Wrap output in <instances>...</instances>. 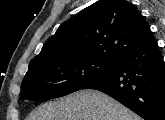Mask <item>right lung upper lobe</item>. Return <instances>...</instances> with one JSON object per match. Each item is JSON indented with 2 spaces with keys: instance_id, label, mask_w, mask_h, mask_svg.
<instances>
[{
  "instance_id": "right-lung-upper-lobe-1",
  "label": "right lung upper lobe",
  "mask_w": 165,
  "mask_h": 120,
  "mask_svg": "<svg viewBox=\"0 0 165 120\" xmlns=\"http://www.w3.org/2000/svg\"><path fill=\"white\" fill-rule=\"evenodd\" d=\"M153 38L141 13L126 0H99L63 22L29 67L73 58L117 61Z\"/></svg>"
}]
</instances>
